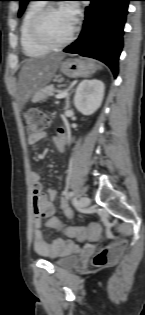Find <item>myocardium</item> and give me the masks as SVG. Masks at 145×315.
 I'll use <instances>...</instances> for the list:
<instances>
[{
	"mask_svg": "<svg viewBox=\"0 0 145 315\" xmlns=\"http://www.w3.org/2000/svg\"><path fill=\"white\" fill-rule=\"evenodd\" d=\"M60 9L54 4H48L43 6L33 17L31 24H30V35L34 42L38 45L48 49V50H55L59 48H63L68 45L74 38L75 33L77 31V26L74 24L70 34L60 42H52L48 40L43 32H42V23L46 15L54 10Z\"/></svg>",
	"mask_w": 145,
	"mask_h": 315,
	"instance_id": "1",
	"label": "myocardium"
}]
</instances>
